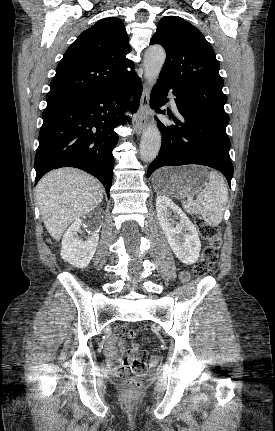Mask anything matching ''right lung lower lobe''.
I'll return each instance as SVG.
<instances>
[{
    "mask_svg": "<svg viewBox=\"0 0 275 431\" xmlns=\"http://www.w3.org/2000/svg\"><path fill=\"white\" fill-rule=\"evenodd\" d=\"M142 86L137 75L121 86L93 95L47 103L35 156V184L48 171L76 167L98 178L109 191L118 135L114 128L129 122L126 109L135 112ZM134 96V103L128 102Z\"/></svg>",
    "mask_w": 275,
    "mask_h": 431,
    "instance_id": "obj_1",
    "label": "right lung lower lobe"
}]
</instances>
